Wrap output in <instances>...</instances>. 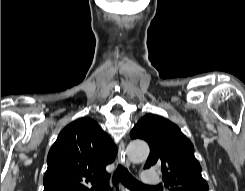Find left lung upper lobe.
Listing matches in <instances>:
<instances>
[{"label":"left lung upper lobe","mask_w":245,"mask_h":191,"mask_svg":"<svg viewBox=\"0 0 245 191\" xmlns=\"http://www.w3.org/2000/svg\"><path fill=\"white\" fill-rule=\"evenodd\" d=\"M130 136L148 142L150 154L144 168L160 166L169 191H208L201 166L194 156V146L176 124L162 116L146 114Z\"/></svg>","instance_id":"obj_1"}]
</instances>
